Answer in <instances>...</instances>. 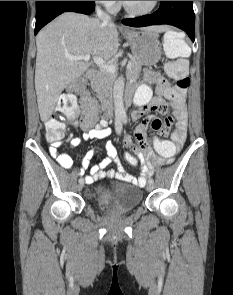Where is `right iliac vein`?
I'll list each match as a JSON object with an SVG mask.
<instances>
[{"mask_svg": "<svg viewBox=\"0 0 233 295\" xmlns=\"http://www.w3.org/2000/svg\"><path fill=\"white\" fill-rule=\"evenodd\" d=\"M83 186H84V179L80 178L78 183V190L79 191L82 190Z\"/></svg>", "mask_w": 233, "mask_h": 295, "instance_id": "1", "label": "right iliac vein"}]
</instances>
